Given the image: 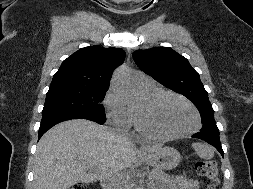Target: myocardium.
I'll use <instances>...</instances> for the list:
<instances>
[{"label":"myocardium","mask_w":253,"mask_h":189,"mask_svg":"<svg viewBox=\"0 0 253 189\" xmlns=\"http://www.w3.org/2000/svg\"><path fill=\"white\" fill-rule=\"evenodd\" d=\"M164 97L176 98L191 108V110L194 112V115H195V125L191 129L183 131V132H179V133L166 134V133H162L153 129L149 125L148 120H147L148 112ZM200 126H201V117H200L199 111L194 106V104L191 103L188 99H186L182 95L175 92H171V91H161L155 94L154 96H152L151 98H149L148 100H146L142 109L139 111V114H138L139 130L144 135L150 138L159 139V140H173V139L183 138V137L192 135L200 129Z\"/></svg>","instance_id":"f54148a6"}]
</instances>
